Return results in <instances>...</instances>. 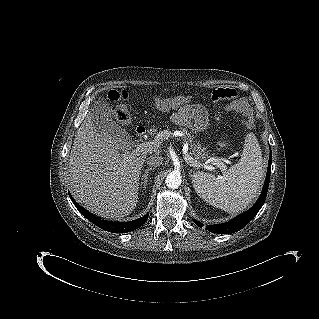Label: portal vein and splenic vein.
Masks as SVG:
<instances>
[{
	"label": "portal vein and splenic vein",
	"mask_w": 319,
	"mask_h": 319,
	"mask_svg": "<svg viewBox=\"0 0 319 319\" xmlns=\"http://www.w3.org/2000/svg\"><path fill=\"white\" fill-rule=\"evenodd\" d=\"M177 135H178V133H176V132L171 133L170 131L164 130L157 135V138L168 139L170 136H177ZM156 147H158L157 142L148 141V142H144V143H141L140 145H138L132 153L134 155L144 154V153H148V152L153 151L154 149H156ZM184 159L192 167L205 168L207 170L213 169V167L211 165H209L210 162L214 163L219 168L225 167L224 163L221 161V159H214L212 161H207L205 163H201V162L195 160L188 153H184Z\"/></svg>",
	"instance_id": "1"
}]
</instances>
